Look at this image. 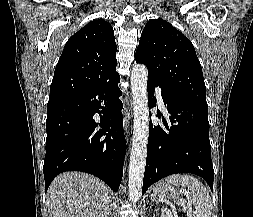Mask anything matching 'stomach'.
Segmentation results:
<instances>
[{
    "label": "stomach",
    "instance_id": "obj_1",
    "mask_svg": "<svg viewBox=\"0 0 253 217\" xmlns=\"http://www.w3.org/2000/svg\"><path fill=\"white\" fill-rule=\"evenodd\" d=\"M186 192L181 191L180 187L172 184L168 179H163L152 188V198L169 199L179 206H184L190 201L189 197L184 198ZM184 201V203H182Z\"/></svg>",
    "mask_w": 253,
    "mask_h": 217
}]
</instances>
